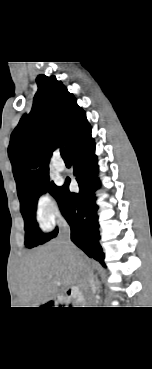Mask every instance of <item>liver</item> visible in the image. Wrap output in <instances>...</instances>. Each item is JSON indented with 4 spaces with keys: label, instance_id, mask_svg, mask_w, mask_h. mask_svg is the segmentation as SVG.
I'll return each instance as SVG.
<instances>
[{
    "label": "liver",
    "instance_id": "1",
    "mask_svg": "<svg viewBox=\"0 0 152 369\" xmlns=\"http://www.w3.org/2000/svg\"><path fill=\"white\" fill-rule=\"evenodd\" d=\"M84 264L93 271L95 263L76 248ZM82 268L74 255L67 252L59 239H54L28 254L21 266L19 287L23 307H39L54 299L56 280L65 286H80Z\"/></svg>",
    "mask_w": 152,
    "mask_h": 369
}]
</instances>
